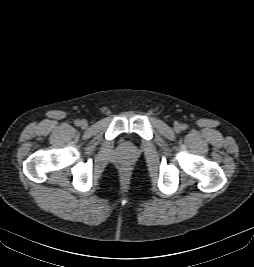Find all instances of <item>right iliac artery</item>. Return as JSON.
<instances>
[{
	"label": "right iliac artery",
	"instance_id": "obj_1",
	"mask_svg": "<svg viewBox=\"0 0 254 267\" xmlns=\"http://www.w3.org/2000/svg\"><path fill=\"white\" fill-rule=\"evenodd\" d=\"M80 124H81V121H80V120H76V121H75V125H76V126H80Z\"/></svg>",
	"mask_w": 254,
	"mask_h": 267
}]
</instances>
